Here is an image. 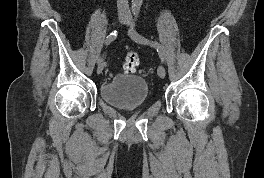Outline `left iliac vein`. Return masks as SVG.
<instances>
[{"label":"left iliac vein","instance_id":"obj_1","mask_svg":"<svg viewBox=\"0 0 264 178\" xmlns=\"http://www.w3.org/2000/svg\"><path fill=\"white\" fill-rule=\"evenodd\" d=\"M124 23L126 25H129V26H133V21H132V18L130 16H127L126 20L124 21ZM157 73L159 75L160 78H164L165 75H166V71H165V68L163 65H160L157 69Z\"/></svg>","mask_w":264,"mask_h":178}]
</instances>
